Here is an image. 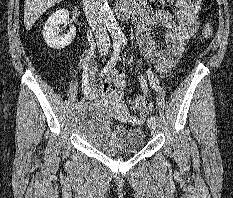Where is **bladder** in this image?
<instances>
[{
	"label": "bladder",
	"instance_id": "bladder-1",
	"mask_svg": "<svg viewBox=\"0 0 233 198\" xmlns=\"http://www.w3.org/2000/svg\"><path fill=\"white\" fill-rule=\"evenodd\" d=\"M77 127L92 147L108 157L135 154L145 142V134L140 127H112L107 112L97 104L81 108Z\"/></svg>",
	"mask_w": 233,
	"mask_h": 198
}]
</instances>
